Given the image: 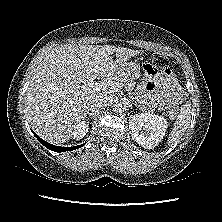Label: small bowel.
Returning a JSON list of instances; mask_svg holds the SVG:
<instances>
[{
  "label": "small bowel",
  "instance_id": "small-bowel-1",
  "mask_svg": "<svg viewBox=\"0 0 222 222\" xmlns=\"http://www.w3.org/2000/svg\"><path fill=\"white\" fill-rule=\"evenodd\" d=\"M143 89L147 93V106L150 109H164L169 103L182 98V90L171 71L165 72V76L148 74Z\"/></svg>",
  "mask_w": 222,
  "mask_h": 222
}]
</instances>
